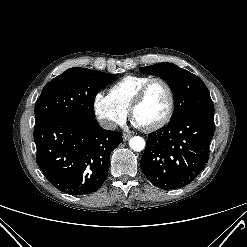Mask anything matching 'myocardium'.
Masks as SVG:
<instances>
[{
	"instance_id": "f54148a6",
	"label": "myocardium",
	"mask_w": 247,
	"mask_h": 247,
	"mask_svg": "<svg viewBox=\"0 0 247 247\" xmlns=\"http://www.w3.org/2000/svg\"><path fill=\"white\" fill-rule=\"evenodd\" d=\"M155 83H159L165 87V89L168 93V97H169V105H168V109H167L165 115L158 122H156L152 125H149V126H145V129L148 131H154V130L160 129L163 126H165L173 117L174 110H175L176 99H175V93H174L172 86L165 79L160 78V77H154V78H150L148 81H146L140 87V89L138 90V92L136 93L134 98L132 99L130 107H129L130 114L132 116H134L136 108L143 102L149 89Z\"/></svg>"
}]
</instances>
